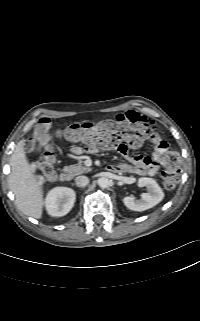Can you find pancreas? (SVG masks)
Listing matches in <instances>:
<instances>
[{
  "instance_id": "cf45deb5",
  "label": "pancreas",
  "mask_w": 200,
  "mask_h": 321,
  "mask_svg": "<svg viewBox=\"0 0 200 321\" xmlns=\"http://www.w3.org/2000/svg\"><path fill=\"white\" fill-rule=\"evenodd\" d=\"M67 169L70 172H72L74 175H80V174H83V173H88V172H90L92 170L91 168L86 167L82 163H79L77 165H71Z\"/></svg>"
}]
</instances>
